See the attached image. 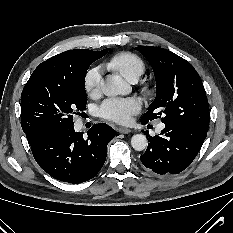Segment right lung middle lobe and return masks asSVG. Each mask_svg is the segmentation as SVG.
<instances>
[{"label": "right lung middle lobe", "instance_id": "dd1d6c3e", "mask_svg": "<svg viewBox=\"0 0 233 233\" xmlns=\"http://www.w3.org/2000/svg\"><path fill=\"white\" fill-rule=\"evenodd\" d=\"M96 58H83L67 78L30 76L21 94V126L30 145L73 126V115L86 109L85 76Z\"/></svg>", "mask_w": 233, "mask_h": 233}]
</instances>
